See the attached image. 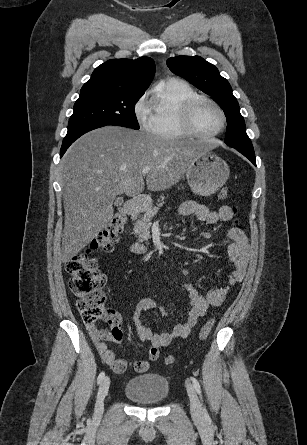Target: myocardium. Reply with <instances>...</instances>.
Segmentation results:
<instances>
[{
    "label": "myocardium",
    "mask_w": 307,
    "mask_h": 445,
    "mask_svg": "<svg viewBox=\"0 0 307 445\" xmlns=\"http://www.w3.org/2000/svg\"><path fill=\"white\" fill-rule=\"evenodd\" d=\"M202 102L214 105L221 112L223 117V126L220 130L213 133H205L200 129L196 121V110L198 105ZM182 116L190 134H193L198 139L216 137L221 133H223L228 126V115L224 107L217 101L213 100L212 98L202 95H196L183 105Z\"/></svg>",
    "instance_id": "1"
}]
</instances>
